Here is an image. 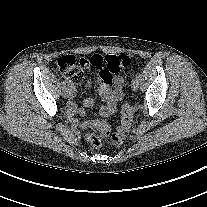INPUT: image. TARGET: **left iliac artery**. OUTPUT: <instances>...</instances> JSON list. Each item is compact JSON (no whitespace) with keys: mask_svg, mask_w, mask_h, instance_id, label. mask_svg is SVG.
I'll return each mask as SVG.
<instances>
[{"mask_svg":"<svg viewBox=\"0 0 207 207\" xmlns=\"http://www.w3.org/2000/svg\"><path fill=\"white\" fill-rule=\"evenodd\" d=\"M141 75H142L141 73H137L136 74V79L140 80L141 79Z\"/></svg>","mask_w":207,"mask_h":207,"instance_id":"left-iliac-artery-1","label":"left iliac artery"}]
</instances>
